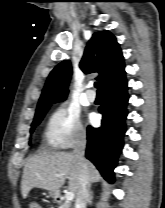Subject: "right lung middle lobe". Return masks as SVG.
I'll use <instances>...</instances> for the list:
<instances>
[{
	"instance_id": "1",
	"label": "right lung middle lobe",
	"mask_w": 165,
	"mask_h": 208,
	"mask_svg": "<svg viewBox=\"0 0 165 208\" xmlns=\"http://www.w3.org/2000/svg\"><path fill=\"white\" fill-rule=\"evenodd\" d=\"M47 109H48V107H46L45 109H43L39 112H36L33 123L31 125V132H33L34 128L41 122Z\"/></svg>"
}]
</instances>
